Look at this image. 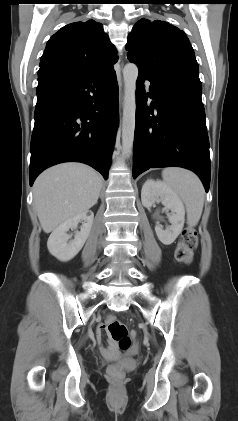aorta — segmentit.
Returning <instances> with one entry per match:
<instances>
[{
	"mask_svg": "<svg viewBox=\"0 0 238 421\" xmlns=\"http://www.w3.org/2000/svg\"><path fill=\"white\" fill-rule=\"evenodd\" d=\"M137 77V65L134 63L126 64L123 69L124 104L122 121V148L125 155H128L131 152L134 141Z\"/></svg>",
	"mask_w": 238,
	"mask_h": 421,
	"instance_id": "obj_1",
	"label": "aorta"
}]
</instances>
